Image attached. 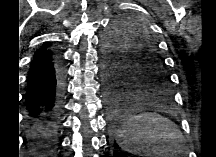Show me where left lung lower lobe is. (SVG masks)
Wrapping results in <instances>:
<instances>
[{
    "mask_svg": "<svg viewBox=\"0 0 216 157\" xmlns=\"http://www.w3.org/2000/svg\"><path fill=\"white\" fill-rule=\"evenodd\" d=\"M133 96L129 84L121 74L119 78L117 77L115 80H109L107 101L109 114L115 123L124 120L126 116L124 107Z\"/></svg>",
    "mask_w": 216,
    "mask_h": 157,
    "instance_id": "1",
    "label": "left lung lower lobe"
}]
</instances>
